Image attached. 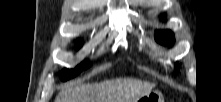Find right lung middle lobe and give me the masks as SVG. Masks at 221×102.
I'll return each instance as SVG.
<instances>
[{"instance_id": "obj_1", "label": "right lung middle lobe", "mask_w": 221, "mask_h": 102, "mask_svg": "<svg viewBox=\"0 0 221 102\" xmlns=\"http://www.w3.org/2000/svg\"><path fill=\"white\" fill-rule=\"evenodd\" d=\"M92 64L88 63V62H82L80 65H78L75 69L72 70H63L60 73V78L62 81H66L70 78L75 77L76 75H78L82 70H85L87 68H89Z\"/></svg>"}]
</instances>
